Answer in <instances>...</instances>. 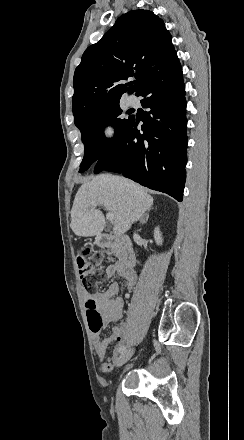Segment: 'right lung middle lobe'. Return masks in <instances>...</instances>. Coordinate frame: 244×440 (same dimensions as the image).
<instances>
[{"mask_svg": "<svg viewBox=\"0 0 244 440\" xmlns=\"http://www.w3.org/2000/svg\"><path fill=\"white\" fill-rule=\"evenodd\" d=\"M119 100H106L91 107L73 110L74 122L81 131L85 146L84 158L80 164V173L86 171L114 145L130 121L131 117L128 119L118 118L122 114ZM108 124L113 125L116 129L114 138L110 140L104 136V127Z\"/></svg>", "mask_w": 244, "mask_h": 440, "instance_id": "right-lung-middle-lobe-1", "label": "right lung middle lobe"}]
</instances>
